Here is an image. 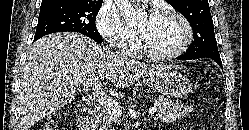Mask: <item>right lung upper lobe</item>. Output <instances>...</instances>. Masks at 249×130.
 Returning <instances> with one entry per match:
<instances>
[{
    "instance_id": "1",
    "label": "right lung upper lobe",
    "mask_w": 249,
    "mask_h": 130,
    "mask_svg": "<svg viewBox=\"0 0 249 130\" xmlns=\"http://www.w3.org/2000/svg\"><path fill=\"white\" fill-rule=\"evenodd\" d=\"M58 1H62V0H42L41 5L51 4V3L58 2ZM88 1H91V0H88ZM97 2H103V0H98Z\"/></svg>"
}]
</instances>
